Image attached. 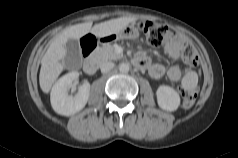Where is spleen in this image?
I'll use <instances>...</instances> for the list:
<instances>
[{
  "instance_id": "1",
  "label": "spleen",
  "mask_w": 238,
  "mask_h": 158,
  "mask_svg": "<svg viewBox=\"0 0 238 158\" xmlns=\"http://www.w3.org/2000/svg\"><path fill=\"white\" fill-rule=\"evenodd\" d=\"M198 83V76L196 72H188L182 79V85L185 89L193 90Z\"/></svg>"
}]
</instances>
